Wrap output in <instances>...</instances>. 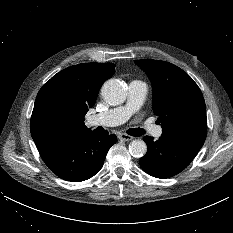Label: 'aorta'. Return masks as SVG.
Masks as SVG:
<instances>
[{"mask_svg": "<svg viewBox=\"0 0 233 233\" xmlns=\"http://www.w3.org/2000/svg\"><path fill=\"white\" fill-rule=\"evenodd\" d=\"M101 96L109 105H120L126 100L125 86L119 80H108L101 88ZM129 152L134 157H142L147 152V145L143 140H133L129 144Z\"/></svg>", "mask_w": 233, "mask_h": 233, "instance_id": "aorta-1", "label": "aorta"}]
</instances>
